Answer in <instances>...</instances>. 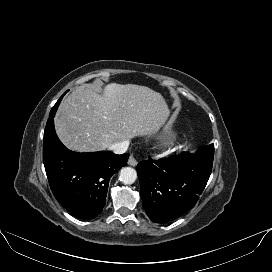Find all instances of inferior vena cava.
<instances>
[{
  "label": "inferior vena cava",
  "instance_id": "602c4592",
  "mask_svg": "<svg viewBox=\"0 0 272 272\" xmlns=\"http://www.w3.org/2000/svg\"><path fill=\"white\" fill-rule=\"evenodd\" d=\"M129 146V141H121L114 143L109 146V149L112 150L116 154H123L127 151Z\"/></svg>",
  "mask_w": 272,
  "mask_h": 272
}]
</instances>
